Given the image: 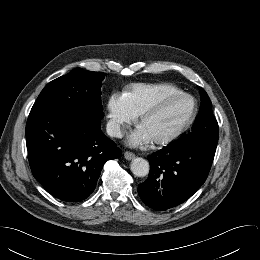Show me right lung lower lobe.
<instances>
[{"instance_id":"right-lung-lower-lobe-1","label":"right lung lower lobe","mask_w":260,"mask_h":260,"mask_svg":"<svg viewBox=\"0 0 260 260\" xmlns=\"http://www.w3.org/2000/svg\"><path fill=\"white\" fill-rule=\"evenodd\" d=\"M101 118L76 110L31 111L26 144L31 171L45 190L80 202L96 188L103 165L121 150L100 129Z\"/></svg>"}]
</instances>
